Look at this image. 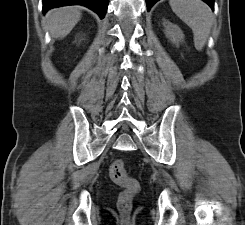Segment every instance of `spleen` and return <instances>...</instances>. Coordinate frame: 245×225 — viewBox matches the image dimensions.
<instances>
[{
  "label": "spleen",
  "instance_id": "spleen-1",
  "mask_svg": "<svg viewBox=\"0 0 245 225\" xmlns=\"http://www.w3.org/2000/svg\"><path fill=\"white\" fill-rule=\"evenodd\" d=\"M169 3L173 12L192 29L195 48L201 51L214 21L211 9L201 0H170Z\"/></svg>",
  "mask_w": 245,
  "mask_h": 225
}]
</instances>
